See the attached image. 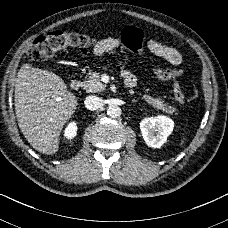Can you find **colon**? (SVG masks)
<instances>
[{
    "instance_id": "1",
    "label": "colon",
    "mask_w": 228,
    "mask_h": 228,
    "mask_svg": "<svg viewBox=\"0 0 228 228\" xmlns=\"http://www.w3.org/2000/svg\"><path fill=\"white\" fill-rule=\"evenodd\" d=\"M93 44V38L72 30H55L40 36L30 48L28 56L32 62H40L51 58L55 53L63 50L77 49L88 52ZM172 94L178 103H184L186 97L179 83L172 86Z\"/></svg>"
}]
</instances>
